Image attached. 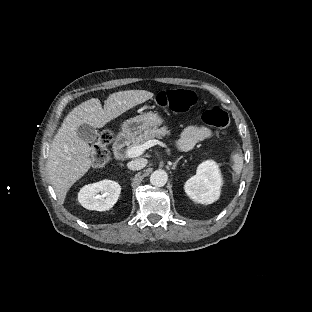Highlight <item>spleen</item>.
I'll use <instances>...</instances> for the list:
<instances>
[{
    "label": "spleen",
    "instance_id": "obj_1",
    "mask_svg": "<svg viewBox=\"0 0 312 312\" xmlns=\"http://www.w3.org/2000/svg\"><path fill=\"white\" fill-rule=\"evenodd\" d=\"M231 168L233 170L232 181L233 184L239 181V177L243 171V155L242 152L234 151L231 153Z\"/></svg>",
    "mask_w": 312,
    "mask_h": 312
}]
</instances>
